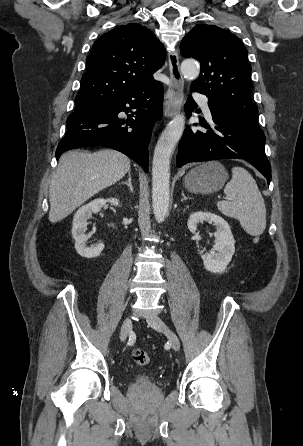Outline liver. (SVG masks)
I'll list each match as a JSON object with an SVG mask.
<instances>
[{
  "instance_id": "obj_1",
  "label": "liver",
  "mask_w": 303,
  "mask_h": 446,
  "mask_svg": "<svg viewBox=\"0 0 303 446\" xmlns=\"http://www.w3.org/2000/svg\"><path fill=\"white\" fill-rule=\"evenodd\" d=\"M130 159L115 150L69 151L62 155L49 188V221L56 223L90 197L122 179Z\"/></svg>"
}]
</instances>
